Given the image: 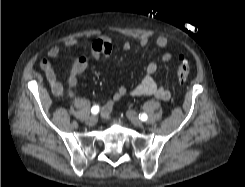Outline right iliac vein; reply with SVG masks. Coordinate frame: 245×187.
Returning a JSON list of instances; mask_svg holds the SVG:
<instances>
[{"instance_id":"right-iliac-vein-1","label":"right iliac vein","mask_w":245,"mask_h":187,"mask_svg":"<svg viewBox=\"0 0 245 187\" xmlns=\"http://www.w3.org/2000/svg\"><path fill=\"white\" fill-rule=\"evenodd\" d=\"M97 123V117L95 115L90 116L87 120H86V124L89 126H93Z\"/></svg>"}]
</instances>
